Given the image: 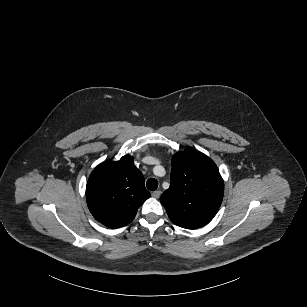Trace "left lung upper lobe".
Here are the masks:
<instances>
[{
    "label": "left lung upper lobe",
    "instance_id": "5c2ea615",
    "mask_svg": "<svg viewBox=\"0 0 307 307\" xmlns=\"http://www.w3.org/2000/svg\"><path fill=\"white\" fill-rule=\"evenodd\" d=\"M223 194L224 184L216 164L189 147L173 156L171 184L160 201L174 224L195 229L212 220Z\"/></svg>",
    "mask_w": 307,
    "mask_h": 307
}]
</instances>
